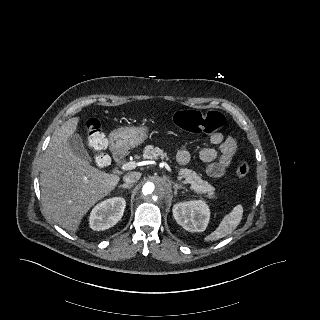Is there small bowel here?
Listing matches in <instances>:
<instances>
[{
	"instance_id": "obj_1",
	"label": "small bowel",
	"mask_w": 320,
	"mask_h": 320,
	"mask_svg": "<svg viewBox=\"0 0 320 320\" xmlns=\"http://www.w3.org/2000/svg\"><path fill=\"white\" fill-rule=\"evenodd\" d=\"M210 143L217 147L203 148L199 152V158L206 163V173L212 178H220L231 165L238 151L236 140L229 136L225 137L221 132L213 133L209 138ZM177 162L180 165H186L191 159L188 150L182 149L177 153Z\"/></svg>"
}]
</instances>
